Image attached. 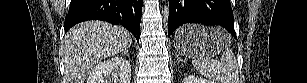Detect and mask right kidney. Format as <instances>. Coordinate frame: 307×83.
Returning <instances> with one entry per match:
<instances>
[{
    "instance_id": "ca27d5eb",
    "label": "right kidney",
    "mask_w": 307,
    "mask_h": 83,
    "mask_svg": "<svg viewBox=\"0 0 307 83\" xmlns=\"http://www.w3.org/2000/svg\"><path fill=\"white\" fill-rule=\"evenodd\" d=\"M130 83L131 65L122 57H113L97 64L87 78V83Z\"/></svg>"
}]
</instances>
